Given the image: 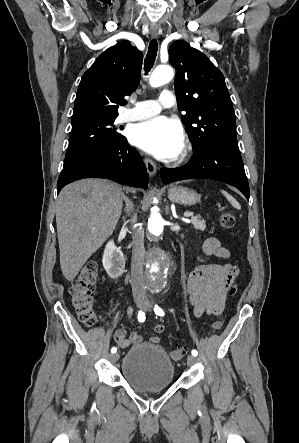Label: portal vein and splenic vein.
I'll use <instances>...</instances> for the list:
<instances>
[{"mask_svg":"<svg viewBox=\"0 0 299 443\" xmlns=\"http://www.w3.org/2000/svg\"><path fill=\"white\" fill-rule=\"evenodd\" d=\"M184 216L185 217H191V216H193V213L192 212H186V213H184Z\"/></svg>","mask_w":299,"mask_h":443,"instance_id":"portal-vein-and-splenic-vein-1","label":"portal vein and splenic vein"}]
</instances>
